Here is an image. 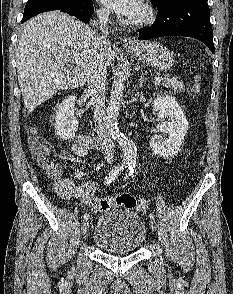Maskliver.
I'll list each match as a JSON object with an SVG mask.
<instances>
[{
	"label": "liver",
	"instance_id": "1",
	"mask_svg": "<svg viewBox=\"0 0 233 294\" xmlns=\"http://www.w3.org/2000/svg\"><path fill=\"white\" fill-rule=\"evenodd\" d=\"M96 33L73 17L48 12L30 19L18 41V82L27 111L50 99L60 89L82 86L95 48ZM107 66L116 48L105 47Z\"/></svg>",
	"mask_w": 233,
	"mask_h": 294
}]
</instances>
